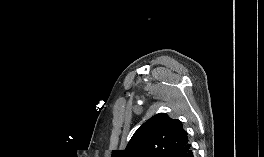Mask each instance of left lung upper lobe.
Here are the masks:
<instances>
[{"instance_id":"5c2ea615","label":"left lung upper lobe","mask_w":264,"mask_h":157,"mask_svg":"<svg viewBox=\"0 0 264 157\" xmlns=\"http://www.w3.org/2000/svg\"><path fill=\"white\" fill-rule=\"evenodd\" d=\"M192 153L181 121L159 113L138 128L126 149L113 150L112 157H190Z\"/></svg>"}]
</instances>
